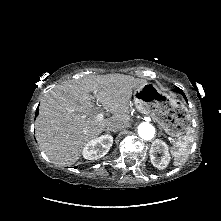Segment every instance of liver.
I'll list each match as a JSON object with an SVG mask.
<instances>
[{
  "label": "liver",
  "instance_id": "liver-1",
  "mask_svg": "<svg viewBox=\"0 0 221 221\" xmlns=\"http://www.w3.org/2000/svg\"><path fill=\"white\" fill-rule=\"evenodd\" d=\"M124 74L89 76L66 81L43 97L35 123V136L43 152L58 165H72L83 147L97 138L108 125H128L132 92L146 84ZM96 91V94H94ZM113 115L97 120L90 93Z\"/></svg>",
  "mask_w": 221,
  "mask_h": 221
}]
</instances>
